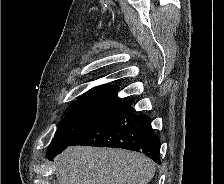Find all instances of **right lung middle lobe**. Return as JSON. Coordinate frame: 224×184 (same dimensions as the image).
<instances>
[{"mask_svg":"<svg viewBox=\"0 0 224 184\" xmlns=\"http://www.w3.org/2000/svg\"><path fill=\"white\" fill-rule=\"evenodd\" d=\"M118 90V86L102 85L83 94L69 109L49 148L70 142L75 136L107 116L121 102L117 98Z\"/></svg>","mask_w":224,"mask_h":184,"instance_id":"obj_1","label":"right lung middle lobe"}]
</instances>
